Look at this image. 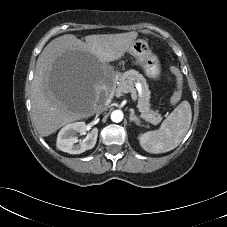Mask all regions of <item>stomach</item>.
Returning <instances> with one entry per match:
<instances>
[{"label":"stomach","instance_id":"0dacf381","mask_svg":"<svg viewBox=\"0 0 227 227\" xmlns=\"http://www.w3.org/2000/svg\"><path fill=\"white\" fill-rule=\"evenodd\" d=\"M128 53L135 58L136 65L144 70L147 77L151 79L159 78L160 61L158 57L152 53L146 40H135L129 48Z\"/></svg>","mask_w":227,"mask_h":227}]
</instances>
